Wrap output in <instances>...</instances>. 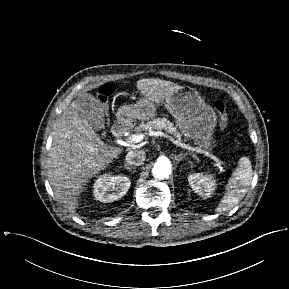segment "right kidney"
Here are the masks:
<instances>
[{
  "instance_id": "1",
  "label": "right kidney",
  "mask_w": 289,
  "mask_h": 289,
  "mask_svg": "<svg viewBox=\"0 0 289 289\" xmlns=\"http://www.w3.org/2000/svg\"><path fill=\"white\" fill-rule=\"evenodd\" d=\"M130 180L126 176L104 174L94 183V196L103 203L113 202L122 198L130 188Z\"/></svg>"
}]
</instances>
